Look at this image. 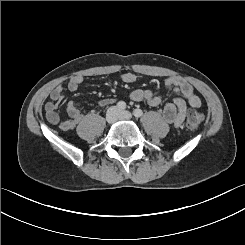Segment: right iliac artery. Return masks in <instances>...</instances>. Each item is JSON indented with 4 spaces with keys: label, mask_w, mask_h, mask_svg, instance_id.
<instances>
[{
    "label": "right iliac artery",
    "mask_w": 245,
    "mask_h": 245,
    "mask_svg": "<svg viewBox=\"0 0 245 245\" xmlns=\"http://www.w3.org/2000/svg\"><path fill=\"white\" fill-rule=\"evenodd\" d=\"M117 108H118L119 110H124V109L126 108V103H125L124 101H119V102L117 103Z\"/></svg>",
    "instance_id": "1"
}]
</instances>
